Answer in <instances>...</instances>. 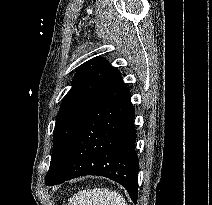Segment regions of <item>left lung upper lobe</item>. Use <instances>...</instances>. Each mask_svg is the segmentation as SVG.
Wrapping results in <instances>:
<instances>
[{
    "mask_svg": "<svg viewBox=\"0 0 212 205\" xmlns=\"http://www.w3.org/2000/svg\"><path fill=\"white\" fill-rule=\"evenodd\" d=\"M118 70L103 57L84 63L76 72L72 88L64 97L53 132V152L45 183L57 178L84 118L109 88Z\"/></svg>",
    "mask_w": 212,
    "mask_h": 205,
    "instance_id": "left-lung-upper-lobe-1",
    "label": "left lung upper lobe"
}]
</instances>
